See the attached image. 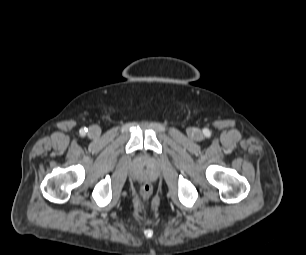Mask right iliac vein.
<instances>
[{
    "mask_svg": "<svg viewBox=\"0 0 306 255\" xmlns=\"http://www.w3.org/2000/svg\"><path fill=\"white\" fill-rule=\"evenodd\" d=\"M101 133V129L97 125H93L89 128L88 135L92 138L98 137Z\"/></svg>",
    "mask_w": 306,
    "mask_h": 255,
    "instance_id": "63e3f726",
    "label": "right iliac vein"
}]
</instances>
